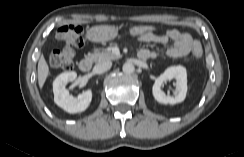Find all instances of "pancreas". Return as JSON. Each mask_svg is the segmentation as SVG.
<instances>
[{"mask_svg":"<svg viewBox=\"0 0 244 157\" xmlns=\"http://www.w3.org/2000/svg\"><path fill=\"white\" fill-rule=\"evenodd\" d=\"M121 56L120 55H115L111 51L106 50V51H95L89 55V58H91L95 62H101L105 60H116L119 59Z\"/></svg>","mask_w":244,"mask_h":157,"instance_id":"pancreas-1","label":"pancreas"}]
</instances>
